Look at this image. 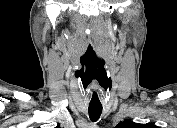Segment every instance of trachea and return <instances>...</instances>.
Returning a JSON list of instances; mask_svg holds the SVG:
<instances>
[{
	"label": "trachea",
	"mask_w": 177,
	"mask_h": 128,
	"mask_svg": "<svg viewBox=\"0 0 177 128\" xmlns=\"http://www.w3.org/2000/svg\"><path fill=\"white\" fill-rule=\"evenodd\" d=\"M88 112L90 120L96 122L102 113V106H89Z\"/></svg>",
	"instance_id": "obj_1"
}]
</instances>
